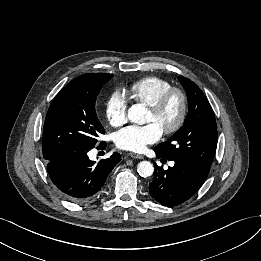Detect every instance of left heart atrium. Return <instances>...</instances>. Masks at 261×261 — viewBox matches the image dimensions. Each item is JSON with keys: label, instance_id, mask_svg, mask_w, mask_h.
Instances as JSON below:
<instances>
[{"label": "left heart atrium", "instance_id": "1", "mask_svg": "<svg viewBox=\"0 0 261 261\" xmlns=\"http://www.w3.org/2000/svg\"><path fill=\"white\" fill-rule=\"evenodd\" d=\"M162 130L154 123L130 125L116 133L115 144L122 150L142 152L147 145L157 142Z\"/></svg>", "mask_w": 261, "mask_h": 261}]
</instances>
